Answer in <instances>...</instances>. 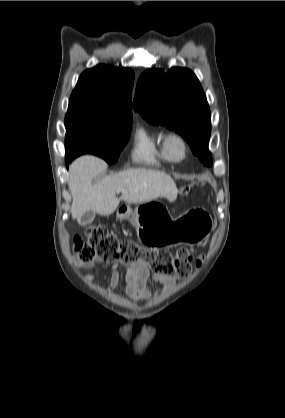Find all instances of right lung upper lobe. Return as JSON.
Listing matches in <instances>:
<instances>
[{
    "label": "right lung upper lobe",
    "mask_w": 285,
    "mask_h": 418,
    "mask_svg": "<svg viewBox=\"0 0 285 418\" xmlns=\"http://www.w3.org/2000/svg\"><path fill=\"white\" fill-rule=\"evenodd\" d=\"M133 82L134 73L129 68L97 65L88 69L71 94L67 114L131 125Z\"/></svg>",
    "instance_id": "obj_1"
}]
</instances>
